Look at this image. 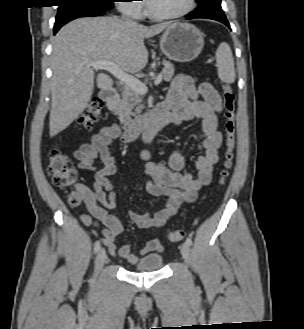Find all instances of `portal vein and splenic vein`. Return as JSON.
Wrapping results in <instances>:
<instances>
[{"label": "portal vein and splenic vein", "instance_id": "obj_1", "mask_svg": "<svg viewBox=\"0 0 304 329\" xmlns=\"http://www.w3.org/2000/svg\"><path fill=\"white\" fill-rule=\"evenodd\" d=\"M88 64L93 67L96 70H106L109 71L112 75H114L116 78H118L121 82H123L125 85L131 87L136 92L140 94H146L148 91L147 86L142 83L139 79L136 77L124 72L116 63L111 61H92L88 62ZM162 74H159L154 84L158 85L162 81Z\"/></svg>", "mask_w": 304, "mask_h": 329}]
</instances>
